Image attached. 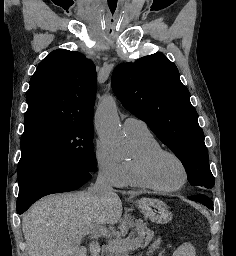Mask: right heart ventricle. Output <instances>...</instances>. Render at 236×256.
I'll return each mask as SVG.
<instances>
[{
	"instance_id": "1",
	"label": "right heart ventricle",
	"mask_w": 236,
	"mask_h": 256,
	"mask_svg": "<svg viewBox=\"0 0 236 256\" xmlns=\"http://www.w3.org/2000/svg\"><path fill=\"white\" fill-rule=\"evenodd\" d=\"M135 146V156L127 161L122 162L126 174V185L133 188H146L138 175L136 157L146 152L160 148L159 143L154 136L149 133L146 135L131 136Z\"/></svg>"
}]
</instances>
